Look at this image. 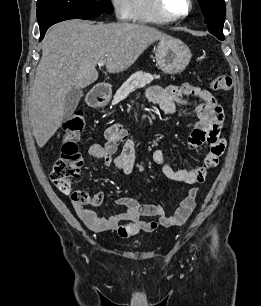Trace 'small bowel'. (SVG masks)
I'll return each instance as SVG.
<instances>
[{"mask_svg":"<svg viewBox=\"0 0 261 306\" xmlns=\"http://www.w3.org/2000/svg\"><path fill=\"white\" fill-rule=\"evenodd\" d=\"M149 100L159 108L173 114L177 104H193L199 122L189 136L191 148L206 145V155L203 163L192 169H173L166 161L165 154L158 149L153 152V161L160 166L163 174L171 180L195 185L204 182L208 172L213 169L223 154L226 141L220 136L224 115L221 106L211 94L190 83L181 87H151L147 92ZM195 98L192 101L189 98ZM106 142L94 143L89 149L90 156L103 161L106 165H114L123 175H129L135 164V144L128 138L127 131L119 124H112L105 130ZM198 189L191 188L172 215H167L160 204H142L130 197H121L118 204L125 207V211L101 217L86 205L73 201V206L80 220L94 232L115 231L122 238H128L139 231L151 232L159 226L171 227L183 224L195 208ZM101 199L102 194L97 193ZM143 217H157L158 221H146Z\"/></svg>","mask_w":261,"mask_h":306,"instance_id":"c3829d8e","label":"small bowel"}]
</instances>
